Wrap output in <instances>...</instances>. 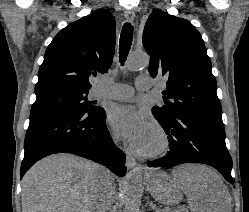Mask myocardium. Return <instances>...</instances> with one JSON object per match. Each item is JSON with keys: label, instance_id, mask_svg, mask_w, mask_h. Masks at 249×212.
<instances>
[{"label": "myocardium", "instance_id": "myocardium-1", "mask_svg": "<svg viewBox=\"0 0 249 212\" xmlns=\"http://www.w3.org/2000/svg\"><path fill=\"white\" fill-rule=\"evenodd\" d=\"M149 126L154 128L159 135L160 144L159 146L152 151H140L139 156L143 158H158L166 155L171 147V138L168 134L167 130L163 127L161 123L156 120H152L149 122Z\"/></svg>", "mask_w": 249, "mask_h": 212}]
</instances>
